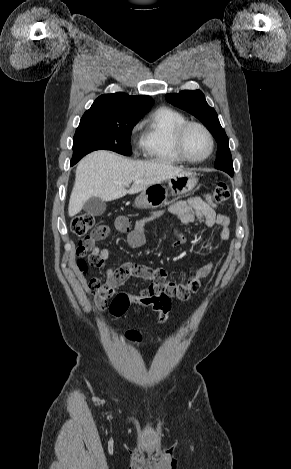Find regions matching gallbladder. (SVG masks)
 <instances>
[{
	"mask_svg": "<svg viewBox=\"0 0 291 469\" xmlns=\"http://www.w3.org/2000/svg\"><path fill=\"white\" fill-rule=\"evenodd\" d=\"M106 209V203L98 197H91L83 206V210L91 216H100Z\"/></svg>",
	"mask_w": 291,
	"mask_h": 469,
	"instance_id": "obj_1",
	"label": "gallbladder"
}]
</instances>
